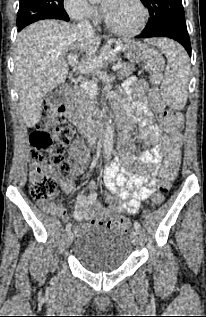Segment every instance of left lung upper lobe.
Here are the masks:
<instances>
[{"label":"left lung upper lobe","instance_id":"left-lung-upper-lobe-1","mask_svg":"<svg viewBox=\"0 0 206 317\" xmlns=\"http://www.w3.org/2000/svg\"><path fill=\"white\" fill-rule=\"evenodd\" d=\"M148 8L150 20L145 30H151L165 24L186 26L181 0H141Z\"/></svg>","mask_w":206,"mask_h":317}]
</instances>
